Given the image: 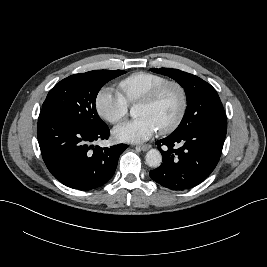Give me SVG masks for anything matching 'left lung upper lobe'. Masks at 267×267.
Returning <instances> with one entry per match:
<instances>
[{
    "mask_svg": "<svg viewBox=\"0 0 267 267\" xmlns=\"http://www.w3.org/2000/svg\"><path fill=\"white\" fill-rule=\"evenodd\" d=\"M151 70L174 79L186 93L187 108L184 117L172 134L187 131L198 125H210L216 121L227 122L217 91L210 84L178 69L152 68Z\"/></svg>",
    "mask_w": 267,
    "mask_h": 267,
    "instance_id": "1",
    "label": "left lung upper lobe"
}]
</instances>
